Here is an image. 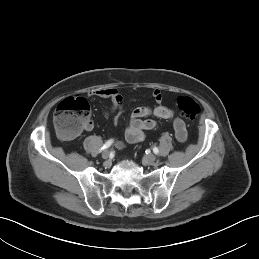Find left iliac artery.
<instances>
[{
  "label": "left iliac artery",
  "mask_w": 259,
  "mask_h": 259,
  "mask_svg": "<svg viewBox=\"0 0 259 259\" xmlns=\"http://www.w3.org/2000/svg\"><path fill=\"white\" fill-rule=\"evenodd\" d=\"M153 152H154L155 154H158V153H159L158 148H157V147H154V148H153Z\"/></svg>",
  "instance_id": "left-iliac-artery-1"
}]
</instances>
